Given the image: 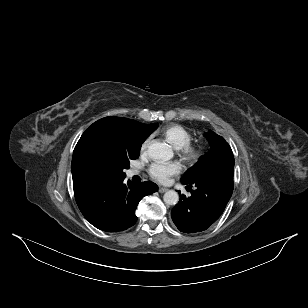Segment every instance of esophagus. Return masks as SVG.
Listing matches in <instances>:
<instances>
[{"label": "esophagus", "instance_id": "esophagus-1", "mask_svg": "<svg viewBox=\"0 0 308 308\" xmlns=\"http://www.w3.org/2000/svg\"><path fill=\"white\" fill-rule=\"evenodd\" d=\"M168 189L167 188H165V187H159V189H158V191L160 192V193H164V192H166Z\"/></svg>", "mask_w": 308, "mask_h": 308}]
</instances>
